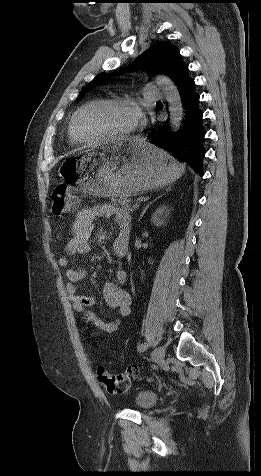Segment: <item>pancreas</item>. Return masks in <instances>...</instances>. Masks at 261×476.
Wrapping results in <instances>:
<instances>
[{
	"label": "pancreas",
	"instance_id": "1",
	"mask_svg": "<svg viewBox=\"0 0 261 476\" xmlns=\"http://www.w3.org/2000/svg\"><path fill=\"white\" fill-rule=\"evenodd\" d=\"M114 202L117 205H119V207L125 212L131 213L135 210V208L133 206H131V200L130 199L120 198V199L114 200Z\"/></svg>",
	"mask_w": 261,
	"mask_h": 476
}]
</instances>
